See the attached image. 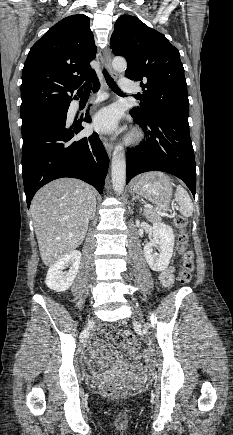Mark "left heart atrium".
<instances>
[{
    "label": "left heart atrium",
    "instance_id": "1",
    "mask_svg": "<svg viewBox=\"0 0 233 435\" xmlns=\"http://www.w3.org/2000/svg\"><path fill=\"white\" fill-rule=\"evenodd\" d=\"M119 120V110L115 106H108L94 115L93 127L99 132L111 133L117 129Z\"/></svg>",
    "mask_w": 233,
    "mask_h": 435
}]
</instances>
